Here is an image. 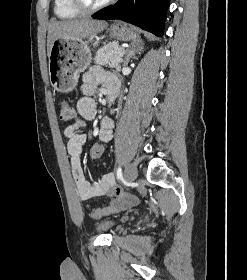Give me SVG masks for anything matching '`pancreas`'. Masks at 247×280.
I'll list each match as a JSON object with an SVG mask.
<instances>
[{
    "instance_id": "1",
    "label": "pancreas",
    "mask_w": 247,
    "mask_h": 280,
    "mask_svg": "<svg viewBox=\"0 0 247 280\" xmlns=\"http://www.w3.org/2000/svg\"><path fill=\"white\" fill-rule=\"evenodd\" d=\"M124 49L115 43H109L97 50L95 54V62L110 68L120 70V62L116 61L120 54L123 55Z\"/></svg>"
}]
</instances>
